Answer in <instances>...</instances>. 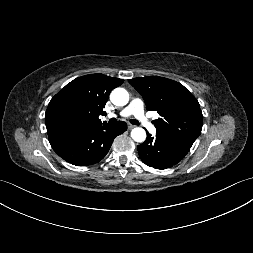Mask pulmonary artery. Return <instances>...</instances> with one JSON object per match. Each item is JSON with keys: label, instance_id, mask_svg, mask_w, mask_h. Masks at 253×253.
Segmentation results:
<instances>
[{"label": "pulmonary artery", "instance_id": "e3ab8cb5", "mask_svg": "<svg viewBox=\"0 0 253 253\" xmlns=\"http://www.w3.org/2000/svg\"><path fill=\"white\" fill-rule=\"evenodd\" d=\"M119 115L121 117H128L133 115L139 123L145 127L147 130H149L151 133L156 132V128L151 122L150 118L146 116L144 112V103L141 99L135 98L133 99L130 104L125 107ZM114 115L110 114L108 115L109 118L113 117Z\"/></svg>", "mask_w": 253, "mask_h": 253}]
</instances>
